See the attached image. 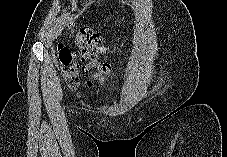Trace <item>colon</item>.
<instances>
[{
  "instance_id": "1",
  "label": "colon",
  "mask_w": 227,
  "mask_h": 157,
  "mask_svg": "<svg viewBox=\"0 0 227 157\" xmlns=\"http://www.w3.org/2000/svg\"><path fill=\"white\" fill-rule=\"evenodd\" d=\"M74 41L80 48L79 57L66 46L58 47V57L62 68L64 80L70 87L79 85L81 71H95V78L104 81L109 73L107 64L100 63L96 59L101 39L99 35L87 28H81L73 32ZM79 60L82 62L80 64Z\"/></svg>"
}]
</instances>
